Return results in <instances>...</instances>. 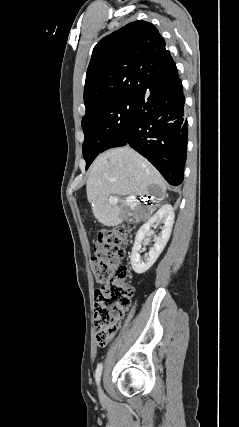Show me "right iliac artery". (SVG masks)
Returning a JSON list of instances; mask_svg holds the SVG:
<instances>
[{"label": "right iliac artery", "mask_w": 239, "mask_h": 427, "mask_svg": "<svg viewBox=\"0 0 239 427\" xmlns=\"http://www.w3.org/2000/svg\"><path fill=\"white\" fill-rule=\"evenodd\" d=\"M101 373H102V364H99L97 366V369H96V372H95V378H96L97 384H99V382H100Z\"/></svg>", "instance_id": "obj_1"}]
</instances>
